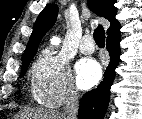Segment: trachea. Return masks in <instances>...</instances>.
Wrapping results in <instances>:
<instances>
[{
	"mask_svg": "<svg viewBox=\"0 0 142 119\" xmlns=\"http://www.w3.org/2000/svg\"><path fill=\"white\" fill-rule=\"evenodd\" d=\"M94 40L99 47L105 46V30L102 25H98L95 29L94 33Z\"/></svg>",
	"mask_w": 142,
	"mask_h": 119,
	"instance_id": "obj_1",
	"label": "trachea"
}]
</instances>
